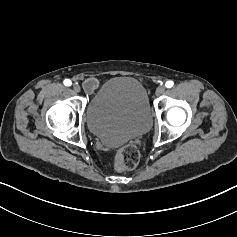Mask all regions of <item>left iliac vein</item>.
Instances as JSON below:
<instances>
[{
	"label": "left iliac vein",
	"mask_w": 237,
	"mask_h": 237,
	"mask_svg": "<svg viewBox=\"0 0 237 237\" xmlns=\"http://www.w3.org/2000/svg\"><path fill=\"white\" fill-rule=\"evenodd\" d=\"M156 93L157 95H162L165 93V87L164 86H159L157 89H156Z\"/></svg>",
	"instance_id": "1"
}]
</instances>
